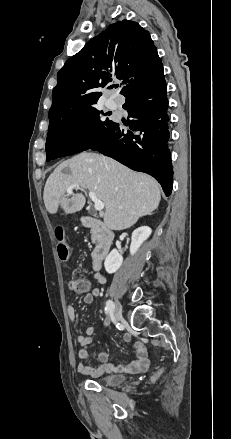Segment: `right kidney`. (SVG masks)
Here are the masks:
<instances>
[{
    "instance_id": "obj_1",
    "label": "right kidney",
    "mask_w": 231,
    "mask_h": 439,
    "mask_svg": "<svg viewBox=\"0 0 231 439\" xmlns=\"http://www.w3.org/2000/svg\"><path fill=\"white\" fill-rule=\"evenodd\" d=\"M152 229L148 226H141L135 229L131 237L130 254L134 255L145 240L151 235ZM123 257L118 250L113 249L104 261L107 273H115L122 265Z\"/></svg>"
}]
</instances>
